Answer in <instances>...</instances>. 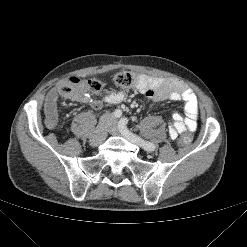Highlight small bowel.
I'll return each mask as SVG.
<instances>
[{"mask_svg": "<svg viewBox=\"0 0 247 247\" xmlns=\"http://www.w3.org/2000/svg\"><path fill=\"white\" fill-rule=\"evenodd\" d=\"M135 87L153 102L164 100L184 101V112L176 111L172 114L169 125V135L174 140L179 134L189 130L193 132L197 128L198 100L195 93L178 80L172 78H148L142 76ZM125 93L121 90L111 91L102 100H92L83 94L76 98L81 103L89 104L92 108L99 110L104 104H117L124 99ZM58 92L51 90L46 97L44 113L45 123L49 128H54L58 123L57 113Z\"/></svg>", "mask_w": 247, "mask_h": 247, "instance_id": "obj_1", "label": "small bowel"}]
</instances>
